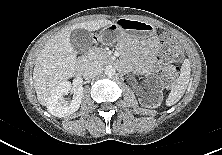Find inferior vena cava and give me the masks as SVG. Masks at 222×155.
Listing matches in <instances>:
<instances>
[{"mask_svg": "<svg viewBox=\"0 0 222 155\" xmlns=\"http://www.w3.org/2000/svg\"><path fill=\"white\" fill-rule=\"evenodd\" d=\"M102 71H103L102 66L93 63L85 67V69L83 70V77L84 79H91L101 74Z\"/></svg>", "mask_w": 222, "mask_h": 155, "instance_id": "obj_1", "label": "inferior vena cava"}]
</instances>
